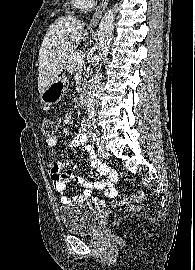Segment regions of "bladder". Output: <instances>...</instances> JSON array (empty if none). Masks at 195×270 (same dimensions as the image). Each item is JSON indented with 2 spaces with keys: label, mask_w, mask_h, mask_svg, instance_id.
<instances>
[{
  "label": "bladder",
  "mask_w": 195,
  "mask_h": 270,
  "mask_svg": "<svg viewBox=\"0 0 195 270\" xmlns=\"http://www.w3.org/2000/svg\"><path fill=\"white\" fill-rule=\"evenodd\" d=\"M64 229L73 234H90L98 221L99 211L89 204L68 205L59 209Z\"/></svg>",
  "instance_id": "31cf9c89"
}]
</instances>
